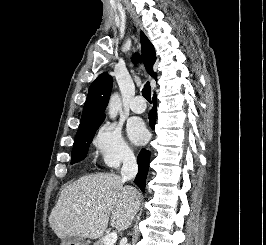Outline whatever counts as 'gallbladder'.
<instances>
[{"label": "gallbladder", "instance_id": "bac80fb5", "mask_svg": "<svg viewBox=\"0 0 266 245\" xmlns=\"http://www.w3.org/2000/svg\"><path fill=\"white\" fill-rule=\"evenodd\" d=\"M75 239H77V237H72V239H70L71 243H74Z\"/></svg>", "mask_w": 266, "mask_h": 245}]
</instances>
